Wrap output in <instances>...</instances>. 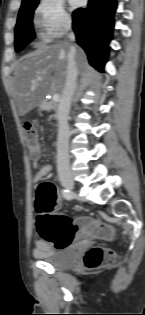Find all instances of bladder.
<instances>
[{"label":"bladder","mask_w":145,"mask_h":315,"mask_svg":"<svg viewBox=\"0 0 145 315\" xmlns=\"http://www.w3.org/2000/svg\"><path fill=\"white\" fill-rule=\"evenodd\" d=\"M73 249L79 248H63L54 252L45 259L50 266L58 269H67L76 264L78 256H73Z\"/></svg>","instance_id":"1"}]
</instances>
